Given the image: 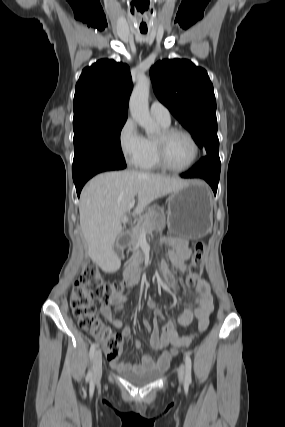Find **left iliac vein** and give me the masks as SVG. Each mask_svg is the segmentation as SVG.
I'll use <instances>...</instances> for the list:
<instances>
[{
    "mask_svg": "<svg viewBox=\"0 0 285 427\" xmlns=\"http://www.w3.org/2000/svg\"><path fill=\"white\" fill-rule=\"evenodd\" d=\"M184 373H185V368H184V365L181 364L178 368V379L180 383L184 381Z\"/></svg>",
    "mask_w": 285,
    "mask_h": 427,
    "instance_id": "obj_1",
    "label": "left iliac vein"
}]
</instances>
